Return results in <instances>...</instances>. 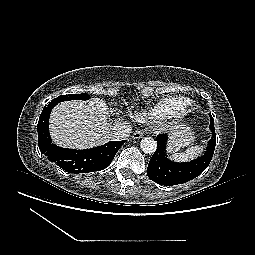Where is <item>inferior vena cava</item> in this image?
<instances>
[{"instance_id":"1","label":"inferior vena cava","mask_w":255,"mask_h":255,"mask_svg":"<svg viewBox=\"0 0 255 255\" xmlns=\"http://www.w3.org/2000/svg\"><path fill=\"white\" fill-rule=\"evenodd\" d=\"M132 131L131 125L129 123H116L112 127L111 135L114 140L120 141L125 140L129 137Z\"/></svg>"}]
</instances>
